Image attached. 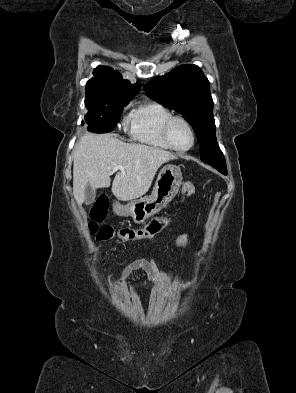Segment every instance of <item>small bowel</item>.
I'll return each mask as SVG.
<instances>
[{"mask_svg":"<svg viewBox=\"0 0 296 393\" xmlns=\"http://www.w3.org/2000/svg\"><path fill=\"white\" fill-rule=\"evenodd\" d=\"M188 244V235L180 234L175 241L177 248L186 255ZM161 254V252H159ZM134 271H143L148 280L155 285H162L166 283V275L161 268L158 260L152 258H137L130 261L122 270L121 281L127 278Z\"/></svg>","mask_w":296,"mask_h":393,"instance_id":"1","label":"small bowel"}]
</instances>
